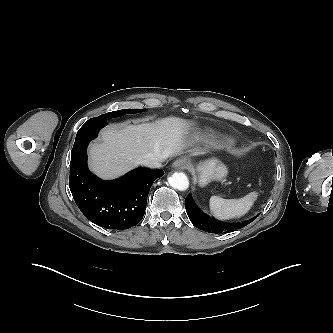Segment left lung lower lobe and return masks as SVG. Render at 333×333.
I'll return each instance as SVG.
<instances>
[{
  "instance_id": "left-lung-lower-lobe-1",
  "label": "left lung lower lobe",
  "mask_w": 333,
  "mask_h": 333,
  "mask_svg": "<svg viewBox=\"0 0 333 333\" xmlns=\"http://www.w3.org/2000/svg\"><path fill=\"white\" fill-rule=\"evenodd\" d=\"M185 208L189 219L198 229L216 234L229 233L234 230L243 228L255 220L259 214L249 220L238 222V223H222L216 221L209 216L201 213L192 203L190 196L185 199Z\"/></svg>"
}]
</instances>
